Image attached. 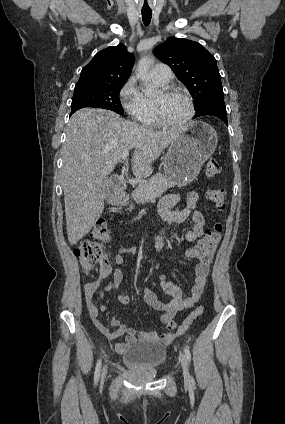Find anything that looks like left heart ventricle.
Instances as JSON below:
<instances>
[{"mask_svg":"<svg viewBox=\"0 0 285 424\" xmlns=\"http://www.w3.org/2000/svg\"><path fill=\"white\" fill-rule=\"evenodd\" d=\"M155 101L161 105L165 119L171 123L182 122L189 113V104L185 97L181 95L164 96L160 93Z\"/></svg>","mask_w":285,"mask_h":424,"instance_id":"b2bd125f","label":"left heart ventricle"}]
</instances>
